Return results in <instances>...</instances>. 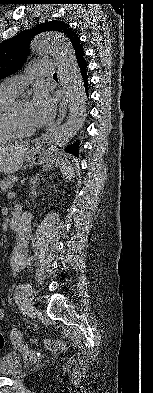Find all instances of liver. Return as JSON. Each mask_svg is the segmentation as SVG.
Segmentation results:
<instances>
[{
    "instance_id": "6515ba94",
    "label": "liver",
    "mask_w": 153,
    "mask_h": 393,
    "mask_svg": "<svg viewBox=\"0 0 153 393\" xmlns=\"http://www.w3.org/2000/svg\"><path fill=\"white\" fill-rule=\"evenodd\" d=\"M26 147L22 145H8L0 147V172L14 173L21 169Z\"/></svg>"
}]
</instances>
